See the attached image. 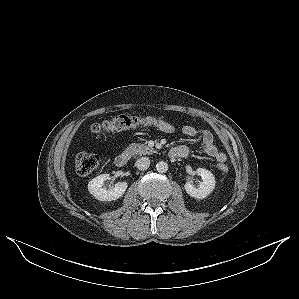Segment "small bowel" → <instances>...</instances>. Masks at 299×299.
Here are the masks:
<instances>
[{"label":"small bowel","instance_id":"c3829d8e","mask_svg":"<svg viewBox=\"0 0 299 299\" xmlns=\"http://www.w3.org/2000/svg\"><path fill=\"white\" fill-rule=\"evenodd\" d=\"M182 132L184 135L188 137H194L197 134V130L191 125H185L182 128ZM201 138H202V144L206 154L214 158L219 164L224 163L226 161V155L225 153L220 151L214 144V138L212 133L208 130H205L202 133ZM181 147H185L188 150L186 146H181Z\"/></svg>","mask_w":299,"mask_h":299}]
</instances>
